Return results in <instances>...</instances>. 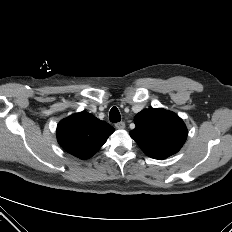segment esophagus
Listing matches in <instances>:
<instances>
[{
    "mask_svg": "<svg viewBox=\"0 0 232 232\" xmlns=\"http://www.w3.org/2000/svg\"><path fill=\"white\" fill-rule=\"evenodd\" d=\"M115 127L117 128V129H119V130H122V129H124L125 128V123L124 122H118V123H116L115 124Z\"/></svg>",
    "mask_w": 232,
    "mask_h": 232,
    "instance_id": "obj_1",
    "label": "esophagus"
}]
</instances>
